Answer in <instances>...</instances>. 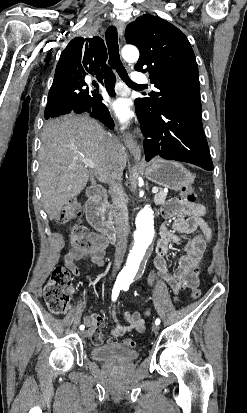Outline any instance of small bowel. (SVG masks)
<instances>
[{"label":"small bowel","instance_id":"1","mask_svg":"<svg viewBox=\"0 0 247 413\" xmlns=\"http://www.w3.org/2000/svg\"><path fill=\"white\" fill-rule=\"evenodd\" d=\"M204 207L197 203H173L170 201L163 208V215L171 221L164 224L160 229V238L156 245V257L154 258V271L151 272L148 282L152 284L156 275H159L170 287L174 294H177L182 287L188 286V291L196 293L200 287L198 280L189 279L200 277V267L206 249L207 241L211 238V230L203 220ZM195 233V236L184 244L185 253L178 259L173 272L170 271V264L167 260L169 245L182 242L180 235ZM106 245V244H105ZM104 247L90 251L74 249L66 254L65 266L75 277L81 275L80 262L90 260L91 262L103 266ZM113 320L115 326L110 331V339L107 346L109 349H116L118 343L116 339L126 332H143L146 326V317L150 314L146 310L142 315L140 312H125L124 318L127 325H123L116 316V307H112ZM84 324L88 328L87 333L96 344H102L105 340L103 334H97V326L103 324V320L97 316L95 310H90L84 319Z\"/></svg>","mask_w":247,"mask_h":413}]
</instances>
